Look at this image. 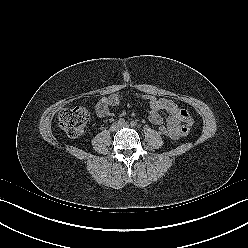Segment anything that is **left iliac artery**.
Returning <instances> with one entry per match:
<instances>
[{
  "label": "left iliac artery",
  "mask_w": 248,
  "mask_h": 248,
  "mask_svg": "<svg viewBox=\"0 0 248 248\" xmlns=\"http://www.w3.org/2000/svg\"><path fill=\"white\" fill-rule=\"evenodd\" d=\"M136 125H137V123L135 121L131 122V126H136Z\"/></svg>",
  "instance_id": "obj_1"
}]
</instances>
